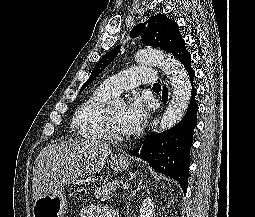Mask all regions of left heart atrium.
<instances>
[{"label":"left heart atrium","mask_w":255,"mask_h":217,"mask_svg":"<svg viewBox=\"0 0 255 217\" xmlns=\"http://www.w3.org/2000/svg\"><path fill=\"white\" fill-rule=\"evenodd\" d=\"M147 110L141 101L134 99L126 108L123 114V129L128 135L136 134L144 126L147 119Z\"/></svg>","instance_id":"left-heart-atrium-1"}]
</instances>
